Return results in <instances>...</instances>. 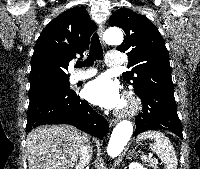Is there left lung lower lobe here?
Returning <instances> with one entry per match:
<instances>
[{
	"label": "left lung lower lobe",
	"instance_id": "left-lung-lower-lobe-1",
	"mask_svg": "<svg viewBox=\"0 0 200 169\" xmlns=\"http://www.w3.org/2000/svg\"><path fill=\"white\" fill-rule=\"evenodd\" d=\"M143 103L142 112L136 116L134 136L147 131L169 130L183 139L182 127L177 115L174 94L148 89L139 96Z\"/></svg>",
	"mask_w": 200,
	"mask_h": 169
}]
</instances>
